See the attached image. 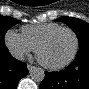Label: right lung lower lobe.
Here are the masks:
<instances>
[{
  "mask_svg": "<svg viewBox=\"0 0 89 89\" xmlns=\"http://www.w3.org/2000/svg\"><path fill=\"white\" fill-rule=\"evenodd\" d=\"M27 74V65L12 57L6 46L1 47L0 89H16L19 80Z\"/></svg>",
  "mask_w": 89,
  "mask_h": 89,
  "instance_id": "obj_1",
  "label": "right lung lower lobe"
}]
</instances>
